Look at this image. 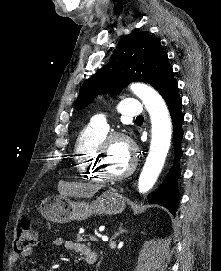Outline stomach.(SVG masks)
<instances>
[{
    "label": "stomach",
    "mask_w": 221,
    "mask_h": 271,
    "mask_svg": "<svg viewBox=\"0 0 221 271\" xmlns=\"http://www.w3.org/2000/svg\"><path fill=\"white\" fill-rule=\"evenodd\" d=\"M41 207V213L50 221L66 223V221H83L91 215H116L126 207L124 197L117 193V189L109 187L100 197L88 201H71L68 197H46Z\"/></svg>",
    "instance_id": "obj_1"
}]
</instances>
